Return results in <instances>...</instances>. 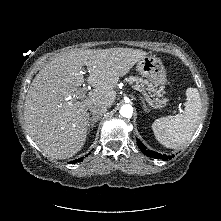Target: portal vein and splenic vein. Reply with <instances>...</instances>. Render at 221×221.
<instances>
[{"label":"portal vein and splenic vein","instance_id":"obj_1","mask_svg":"<svg viewBox=\"0 0 221 221\" xmlns=\"http://www.w3.org/2000/svg\"><path fill=\"white\" fill-rule=\"evenodd\" d=\"M131 87H132L133 89L139 91V92L145 97V99L147 100V102H148L153 108H156V109L159 108L158 105H156V104L153 103V101L151 100L150 96L146 93L145 90H143V89H141V88H139V87H137V86H134V85L131 86ZM86 91H87V88H86V87L82 88V89L79 91L78 95H79V98H80V99H83V98H84ZM67 100H69V98H68Z\"/></svg>","mask_w":221,"mask_h":221}]
</instances>
